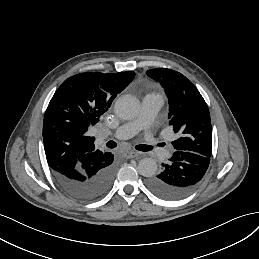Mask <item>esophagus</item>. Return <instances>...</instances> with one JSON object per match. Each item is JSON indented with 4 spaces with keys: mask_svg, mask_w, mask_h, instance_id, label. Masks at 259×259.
Here are the masks:
<instances>
[{
    "mask_svg": "<svg viewBox=\"0 0 259 259\" xmlns=\"http://www.w3.org/2000/svg\"><path fill=\"white\" fill-rule=\"evenodd\" d=\"M140 154L138 152L135 151H130V152H126L124 153V157L127 159H132V158H136L138 157Z\"/></svg>",
    "mask_w": 259,
    "mask_h": 259,
    "instance_id": "1",
    "label": "esophagus"
}]
</instances>
